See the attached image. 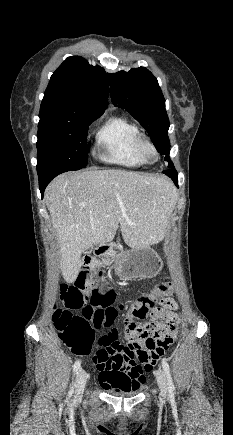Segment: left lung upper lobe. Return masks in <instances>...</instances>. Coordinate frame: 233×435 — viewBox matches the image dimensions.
<instances>
[{"mask_svg":"<svg viewBox=\"0 0 233 435\" xmlns=\"http://www.w3.org/2000/svg\"><path fill=\"white\" fill-rule=\"evenodd\" d=\"M110 94L114 105L126 109L149 133L154 146L169 158V119L165 110V99L155 76L145 67L133 68L128 72L107 74Z\"/></svg>","mask_w":233,"mask_h":435,"instance_id":"obj_1","label":"left lung upper lobe"}]
</instances>
